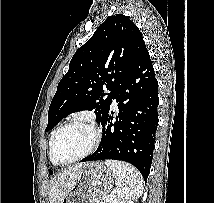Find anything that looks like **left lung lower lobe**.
I'll return each mask as SVG.
<instances>
[{
  "label": "left lung lower lobe",
  "mask_w": 214,
  "mask_h": 203,
  "mask_svg": "<svg viewBox=\"0 0 214 203\" xmlns=\"http://www.w3.org/2000/svg\"><path fill=\"white\" fill-rule=\"evenodd\" d=\"M120 110L116 119L109 111L101 120L103 134L98 149L82 162L114 159L135 166L147 180L158 125V82L145 49L121 81L113 99Z\"/></svg>",
  "instance_id": "obj_1"
}]
</instances>
